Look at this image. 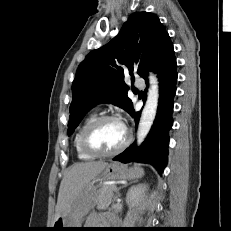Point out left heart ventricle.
Instances as JSON below:
<instances>
[{
  "label": "left heart ventricle",
  "mask_w": 231,
  "mask_h": 231,
  "mask_svg": "<svg viewBox=\"0 0 231 231\" xmlns=\"http://www.w3.org/2000/svg\"><path fill=\"white\" fill-rule=\"evenodd\" d=\"M125 137L126 131L120 122L106 121L93 130L90 143L99 151H111L119 147Z\"/></svg>",
  "instance_id": "b2bd125f"
}]
</instances>
